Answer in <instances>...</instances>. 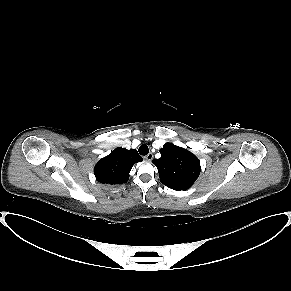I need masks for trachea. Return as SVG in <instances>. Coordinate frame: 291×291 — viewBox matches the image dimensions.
<instances>
[{
    "instance_id": "1",
    "label": "trachea",
    "mask_w": 291,
    "mask_h": 291,
    "mask_svg": "<svg viewBox=\"0 0 291 291\" xmlns=\"http://www.w3.org/2000/svg\"><path fill=\"white\" fill-rule=\"evenodd\" d=\"M139 153L141 154V155H143V156H145V155H147L148 153H149V148H148V146L147 145H141L140 147H139Z\"/></svg>"
}]
</instances>
